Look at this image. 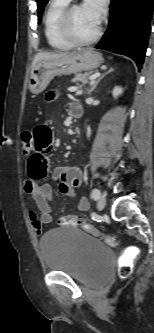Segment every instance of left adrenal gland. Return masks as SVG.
<instances>
[{"mask_svg": "<svg viewBox=\"0 0 154 333\" xmlns=\"http://www.w3.org/2000/svg\"><path fill=\"white\" fill-rule=\"evenodd\" d=\"M113 71V69H109L105 74H103L101 77H99L93 84V86L91 87V89L88 91V94L92 93L95 88L97 87L98 83L101 81V79H103L107 74L111 73Z\"/></svg>", "mask_w": 154, "mask_h": 333, "instance_id": "left-adrenal-gland-1", "label": "left adrenal gland"}]
</instances>
